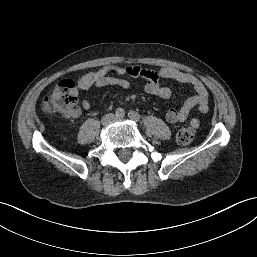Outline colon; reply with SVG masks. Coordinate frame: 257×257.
<instances>
[{"instance_id": "5ec220e1", "label": "colon", "mask_w": 257, "mask_h": 257, "mask_svg": "<svg viewBox=\"0 0 257 257\" xmlns=\"http://www.w3.org/2000/svg\"><path fill=\"white\" fill-rule=\"evenodd\" d=\"M77 102L76 83L73 80L67 79L61 81L45 96L43 107L47 112L68 114L77 109ZM194 136V127L187 125L178 130L176 140L182 145H187L193 141Z\"/></svg>"}]
</instances>
